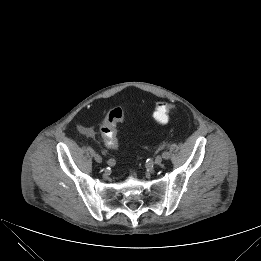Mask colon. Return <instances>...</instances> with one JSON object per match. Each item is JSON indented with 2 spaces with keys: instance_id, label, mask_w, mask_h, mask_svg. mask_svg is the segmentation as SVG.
I'll return each instance as SVG.
<instances>
[{
  "instance_id": "colon-1",
  "label": "colon",
  "mask_w": 261,
  "mask_h": 261,
  "mask_svg": "<svg viewBox=\"0 0 261 261\" xmlns=\"http://www.w3.org/2000/svg\"><path fill=\"white\" fill-rule=\"evenodd\" d=\"M173 105L168 102L155 103L153 119L160 125L167 124ZM124 121V112L120 108L111 109L104 117L100 132L105 144L111 149L119 147L117 138V124Z\"/></svg>"
}]
</instances>
